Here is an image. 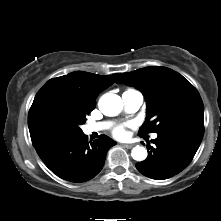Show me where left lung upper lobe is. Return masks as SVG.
Here are the masks:
<instances>
[{"label": "left lung upper lobe", "instance_id": "5c2ea615", "mask_svg": "<svg viewBox=\"0 0 221 221\" xmlns=\"http://www.w3.org/2000/svg\"><path fill=\"white\" fill-rule=\"evenodd\" d=\"M116 82L139 89L146 98L147 117L140 135L179 125L203 126L204 106L198 91L174 70L146 67L122 73Z\"/></svg>", "mask_w": 221, "mask_h": 221}]
</instances>
